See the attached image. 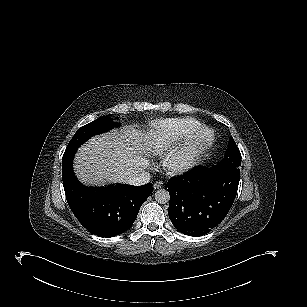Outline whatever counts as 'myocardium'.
<instances>
[{
    "label": "myocardium",
    "mask_w": 307,
    "mask_h": 307,
    "mask_svg": "<svg viewBox=\"0 0 307 307\" xmlns=\"http://www.w3.org/2000/svg\"><path fill=\"white\" fill-rule=\"evenodd\" d=\"M206 131L209 137L203 140L201 135ZM213 139V131L209 127H200L196 130L193 137L177 148L176 153L171 157L163 159L161 166L168 173L180 174L189 171L199 163L202 154L208 149ZM189 149V156L182 157L183 150Z\"/></svg>",
    "instance_id": "obj_1"
}]
</instances>
